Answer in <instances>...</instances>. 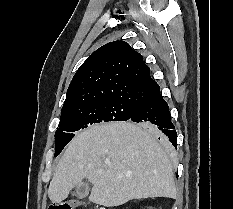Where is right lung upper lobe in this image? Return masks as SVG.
<instances>
[{
	"mask_svg": "<svg viewBox=\"0 0 233 209\" xmlns=\"http://www.w3.org/2000/svg\"><path fill=\"white\" fill-rule=\"evenodd\" d=\"M160 93L142 55L125 41L107 43L93 52L74 75L61 114L106 99L142 105Z\"/></svg>",
	"mask_w": 233,
	"mask_h": 209,
	"instance_id": "obj_1",
	"label": "right lung upper lobe"
}]
</instances>
